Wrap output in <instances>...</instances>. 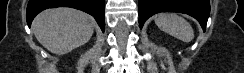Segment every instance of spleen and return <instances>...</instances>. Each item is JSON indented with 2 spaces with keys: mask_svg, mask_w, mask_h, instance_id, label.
I'll use <instances>...</instances> for the list:
<instances>
[{
  "mask_svg": "<svg viewBox=\"0 0 244 73\" xmlns=\"http://www.w3.org/2000/svg\"><path fill=\"white\" fill-rule=\"evenodd\" d=\"M155 24L165 33L183 42L188 43L194 38V31L190 23L175 13L157 15Z\"/></svg>",
  "mask_w": 244,
  "mask_h": 73,
  "instance_id": "1",
  "label": "spleen"
}]
</instances>
